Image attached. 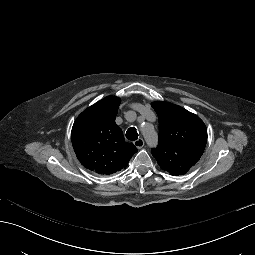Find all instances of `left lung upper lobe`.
<instances>
[{"label":"left lung upper lobe","instance_id":"left-lung-upper-lobe-1","mask_svg":"<svg viewBox=\"0 0 255 255\" xmlns=\"http://www.w3.org/2000/svg\"><path fill=\"white\" fill-rule=\"evenodd\" d=\"M152 107L159 119V144L152 154L171 175L185 174L204 152L206 126L198 116L180 106L158 101Z\"/></svg>","mask_w":255,"mask_h":255}]
</instances>
